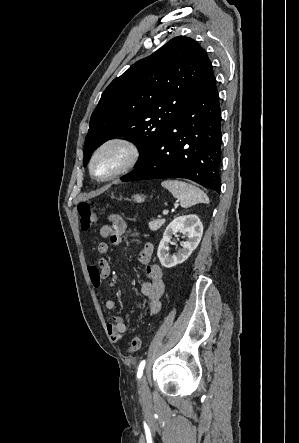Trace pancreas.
Returning <instances> with one entry per match:
<instances>
[{
  "label": "pancreas",
  "mask_w": 299,
  "mask_h": 443,
  "mask_svg": "<svg viewBox=\"0 0 299 443\" xmlns=\"http://www.w3.org/2000/svg\"><path fill=\"white\" fill-rule=\"evenodd\" d=\"M165 219H155L148 223L149 229L152 231H156L162 227V225L165 223Z\"/></svg>",
  "instance_id": "obj_1"
}]
</instances>
